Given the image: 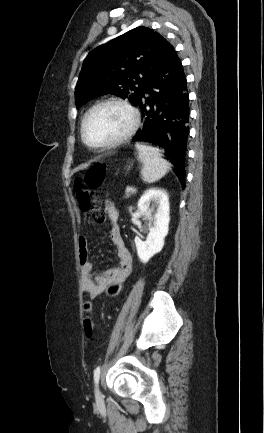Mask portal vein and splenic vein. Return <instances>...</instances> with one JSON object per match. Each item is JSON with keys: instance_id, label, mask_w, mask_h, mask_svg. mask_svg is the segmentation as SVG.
Wrapping results in <instances>:
<instances>
[{"instance_id": "18ae733b", "label": "portal vein and splenic vein", "mask_w": 264, "mask_h": 433, "mask_svg": "<svg viewBox=\"0 0 264 433\" xmlns=\"http://www.w3.org/2000/svg\"><path fill=\"white\" fill-rule=\"evenodd\" d=\"M131 192H134V189L131 188V187H127L126 188V193H131Z\"/></svg>"}]
</instances>
